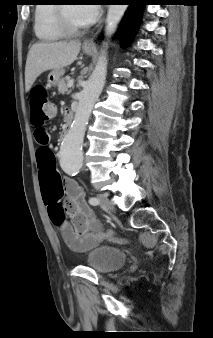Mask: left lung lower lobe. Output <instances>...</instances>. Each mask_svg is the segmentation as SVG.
Masks as SVG:
<instances>
[{"label": "left lung lower lobe", "mask_w": 213, "mask_h": 338, "mask_svg": "<svg viewBox=\"0 0 213 338\" xmlns=\"http://www.w3.org/2000/svg\"><path fill=\"white\" fill-rule=\"evenodd\" d=\"M120 2H126L130 5L121 23L122 37L127 42L134 35L139 25L142 12L141 5H144L143 2H146V0H120Z\"/></svg>", "instance_id": "obj_1"}]
</instances>
